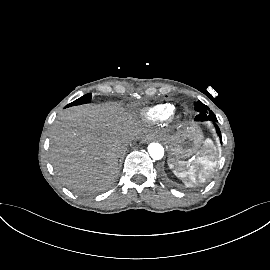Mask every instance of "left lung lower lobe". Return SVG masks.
I'll list each match as a JSON object with an SVG mask.
<instances>
[{"instance_id": "obj_1", "label": "left lung lower lobe", "mask_w": 270, "mask_h": 270, "mask_svg": "<svg viewBox=\"0 0 270 270\" xmlns=\"http://www.w3.org/2000/svg\"><path fill=\"white\" fill-rule=\"evenodd\" d=\"M208 120H209V121H212V122L214 123V125H215V127H216V131H217V133H218V136H219L220 139H221L220 130H219L217 124H216L217 118H216L215 115H207V116H204V117H202L199 121H208Z\"/></svg>"}]
</instances>
